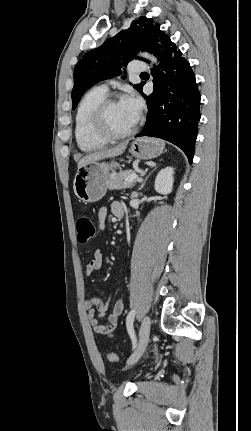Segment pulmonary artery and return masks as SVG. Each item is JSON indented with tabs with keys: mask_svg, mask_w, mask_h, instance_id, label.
Returning a JSON list of instances; mask_svg holds the SVG:
<instances>
[{
	"mask_svg": "<svg viewBox=\"0 0 251 431\" xmlns=\"http://www.w3.org/2000/svg\"><path fill=\"white\" fill-rule=\"evenodd\" d=\"M147 69H148L147 64L144 62H140V61L133 62L130 65V71L132 73H141V72L146 71ZM97 88H99L100 90L105 91V92L107 91L106 85H100Z\"/></svg>",
	"mask_w": 251,
	"mask_h": 431,
	"instance_id": "1",
	"label": "pulmonary artery"
}]
</instances>
